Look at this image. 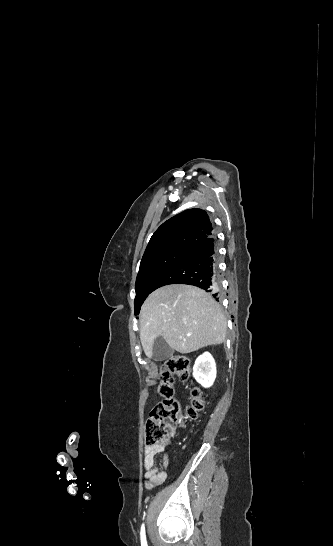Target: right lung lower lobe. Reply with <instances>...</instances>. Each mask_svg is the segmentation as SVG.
Returning a JSON list of instances; mask_svg holds the SVG:
<instances>
[{
    "instance_id": "obj_1",
    "label": "right lung lower lobe",
    "mask_w": 333,
    "mask_h": 546,
    "mask_svg": "<svg viewBox=\"0 0 333 546\" xmlns=\"http://www.w3.org/2000/svg\"><path fill=\"white\" fill-rule=\"evenodd\" d=\"M215 234L203 239L175 263L157 282L156 289L168 284H188L204 289L218 300L219 273Z\"/></svg>"
}]
</instances>
